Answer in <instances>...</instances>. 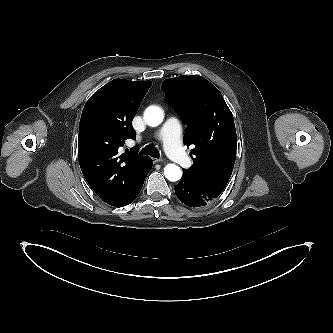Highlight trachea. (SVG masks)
<instances>
[{
  "mask_svg": "<svg viewBox=\"0 0 333 333\" xmlns=\"http://www.w3.org/2000/svg\"><path fill=\"white\" fill-rule=\"evenodd\" d=\"M140 154L150 155L154 158H159L160 157L159 151L152 144L146 145L144 148H142V150L140 151Z\"/></svg>",
  "mask_w": 333,
  "mask_h": 333,
  "instance_id": "1",
  "label": "trachea"
}]
</instances>
